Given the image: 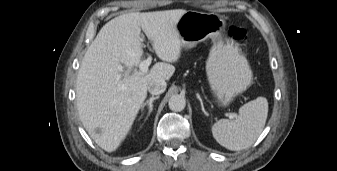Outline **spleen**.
<instances>
[{
	"label": "spleen",
	"mask_w": 337,
	"mask_h": 171,
	"mask_svg": "<svg viewBox=\"0 0 337 171\" xmlns=\"http://www.w3.org/2000/svg\"><path fill=\"white\" fill-rule=\"evenodd\" d=\"M268 101L258 97L239 109L235 120L220 119L212 126L215 140L231 151L249 148L258 139L266 123Z\"/></svg>",
	"instance_id": "obj_1"
}]
</instances>
